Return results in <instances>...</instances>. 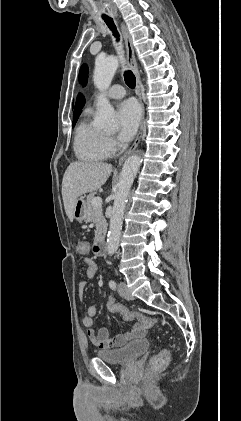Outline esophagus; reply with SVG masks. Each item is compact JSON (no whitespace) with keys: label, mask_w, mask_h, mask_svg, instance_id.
<instances>
[{"label":"esophagus","mask_w":241,"mask_h":421,"mask_svg":"<svg viewBox=\"0 0 241 421\" xmlns=\"http://www.w3.org/2000/svg\"><path fill=\"white\" fill-rule=\"evenodd\" d=\"M121 30H122V34H123V38H124V42H125V47H126L127 63H128L129 68L133 71V73L135 74V77H136V83H137L136 92H137L138 99H139V102H140V105H141V122H140V127H139L137 137H136L134 143L132 144V146L119 159V163H118L119 166H121L124 163V161L127 159V157L138 146V144L140 142L142 132H143L144 116H145V109H144V104H143V100H142V92H141V79H140V74H139L136 59H135V53H134V47H133V44H132V39H131L130 34L128 33V30H127L126 26L123 23H121Z\"/></svg>","instance_id":"esophagus-1"}]
</instances>
